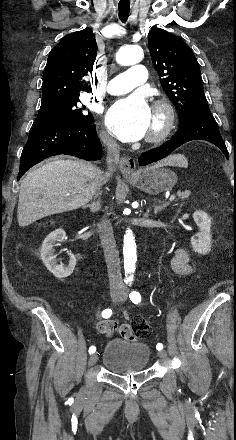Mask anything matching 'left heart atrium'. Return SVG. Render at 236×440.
<instances>
[{
    "instance_id": "1",
    "label": "left heart atrium",
    "mask_w": 236,
    "mask_h": 440,
    "mask_svg": "<svg viewBox=\"0 0 236 440\" xmlns=\"http://www.w3.org/2000/svg\"><path fill=\"white\" fill-rule=\"evenodd\" d=\"M106 123L110 132L121 141H137L150 129L151 108L142 95L133 94L117 100L110 107Z\"/></svg>"
}]
</instances>
